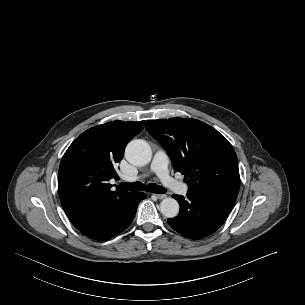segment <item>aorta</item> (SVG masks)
<instances>
[{
	"mask_svg": "<svg viewBox=\"0 0 305 305\" xmlns=\"http://www.w3.org/2000/svg\"><path fill=\"white\" fill-rule=\"evenodd\" d=\"M125 157L132 165L144 166L151 161L152 151L146 141L136 139L128 143ZM160 212L167 218H174L179 213V204L171 197L165 198L160 203Z\"/></svg>",
	"mask_w": 305,
	"mask_h": 305,
	"instance_id": "762f6f07",
	"label": "aorta"
}]
</instances>
